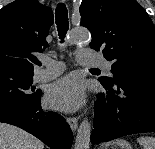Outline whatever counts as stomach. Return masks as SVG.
<instances>
[{"label": "stomach", "instance_id": "obj_1", "mask_svg": "<svg viewBox=\"0 0 155 149\" xmlns=\"http://www.w3.org/2000/svg\"><path fill=\"white\" fill-rule=\"evenodd\" d=\"M103 149H132V147L126 140L117 139L107 144Z\"/></svg>", "mask_w": 155, "mask_h": 149}]
</instances>
